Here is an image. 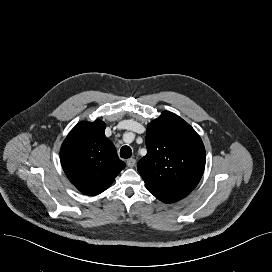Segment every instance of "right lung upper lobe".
<instances>
[{"mask_svg":"<svg viewBox=\"0 0 272 272\" xmlns=\"http://www.w3.org/2000/svg\"><path fill=\"white\" fill-rule=\"evenodd\" d=\"M101 120L80 122L69 133L60 149L62 168L70 182L87 195L105 191L124 169L115 146L105 136Z\"/></svg>","mask_w":272,"mask_h":272,"instance_id":"cb5924a9","label":"right lung upper lobe"}]
</instances>
